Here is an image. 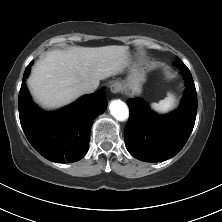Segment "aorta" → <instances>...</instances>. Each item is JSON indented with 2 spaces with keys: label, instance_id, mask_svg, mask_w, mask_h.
<instances>
[{
  "label": "aorta",
  "instance_id": "obj_1",
  "mask_svg": "<svg viewBox=\"0 0 222 222\" xmlns=\"http://www.w3.org/2000/svg\"><path fill=\"white\" fill-rule=\"evenodd\" d=\"M111 115L118 121H125L129 117L128 106L121 100H113L109 105Z\"/></svg>",
  "mask_w": 222,
  "mask_h": 222
}]
</instances>
